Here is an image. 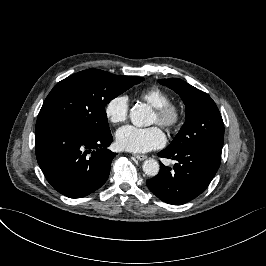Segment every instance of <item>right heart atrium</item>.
<instances>
[{"mask_svg":"<svg viewBox=\"0 0 266 266\" xmlns=\"http://www.w3.org/2000/svg\"><path fill=\"white\" fill-rule=\"evenodd\" d=\"M130 110L129 97L124 94L112 96L104 106V114L111 124H120L127 120Z\"/></svg>","mask_w":266,"mask_h":266,"instance_id":"right-heart-atrium-1","label":"right heart atrium"}]
</instances>
